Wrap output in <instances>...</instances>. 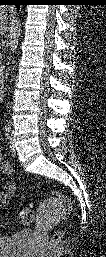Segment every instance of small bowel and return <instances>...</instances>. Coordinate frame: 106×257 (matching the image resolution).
<instances>
[{
  "label": "small bowel",
  "instance_id": "obj_1",
  "mask_svg": "<svg viewBox=\"0 0 106 257\" xmlns=\"http://www.w3.org/2000/svg\"><path fill=\"white\" fill-rule=\"evenodd\" d=\"M0 171L3 174H10L12 172V167L11 165L3 160L2 158L0 159ZM16 190V184L14 181L9 180L7 181L1 189V194H0V206H5L11 199L13 193Z\"/></svg>",
  "mask_w": 106,
  "mask_h": 257
}]
</instances>
